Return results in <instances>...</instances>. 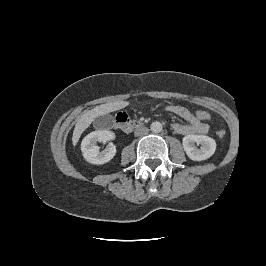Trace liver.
<instances>
[{
	"label": "liver",
	"mask_w": 266,
	"mask_h": 266,
	"mask_svg": "<svg viewBox=\"0 0 266 266\" xmlns=\"http://www.w3.org/2000/svg\"><path fill=\"white\" fill-rule=\"evenodd\" d=\"M129 105L128 101H115L110 103H105L98 105L92 110L85 111L81 117L78 119L72 136V144L75 146L79 141L82 133L90 126V124L99 116L106 115L110 112H114L125 108Z\"/></svg>",
	"instance_id": "liver-1"
}]
</instances>
